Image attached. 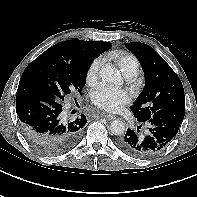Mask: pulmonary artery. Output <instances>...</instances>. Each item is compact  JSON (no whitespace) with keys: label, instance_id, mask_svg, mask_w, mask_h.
<instances>
[{"label":"pulmonary artery","instance_id":"1","mask_svg":"<svg viewBox=\"0 0 197 197\" xmlns=\"http://www.w3.org/2000/svg\"><path fill=\"white\" fill-rule=\"evenodd\" d=\"M134 76H126V78L128 79H132Z\"/></svg>","mask_w":197,"mask_h":197}]
</instances>
